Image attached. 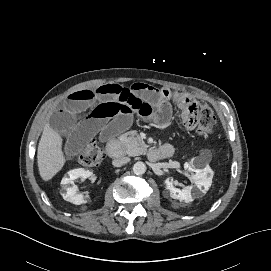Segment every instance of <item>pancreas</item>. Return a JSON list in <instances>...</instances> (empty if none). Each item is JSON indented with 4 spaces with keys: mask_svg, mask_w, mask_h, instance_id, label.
Masks as SVG:
<instances>
[{
    "mask_svg": "<svg viewBox=\"0 0 271 271\" xmlns=\"http://www.w3.org/2000/svg\"><path fill=\"white\" fill-rule=\"evenodd\" d=\"M119 140L123 145L124 153L129 156L141 155L147 147L136 131L122 134Z\"/></svg>",
    "mask_w": 271,
    "mask_h": 271,
    "instance_id": "obj_1",
    "label": "pancreas"
}]
</instances>
